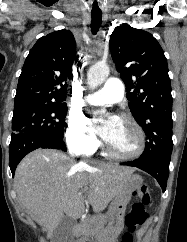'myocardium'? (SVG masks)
Masks as SVG:
<instances>
[{"label":"myocardium","instance_id":"f54148a6","mask_svg":"<svg viewBox=\"0 0 187 242\" xmlns=\"http://www.w3.org/2000/svg\"><path fill=\"white\" fill-rule=\"evenodd\" d=\"M117 118L131 124L134 127V129L136 130L137 135H138V146L132 152H120V151L113 149L112 147L109 146L108 143H106L105 152L109 156L119 158V159H132V158L139 157L140 155H142V153L144 152V150L146 148V135H145L144 129L138 123V121L130 114L120 113L117 116Z\"/></svg>","mask_w":187,"mask_h":242}]
</instances>
